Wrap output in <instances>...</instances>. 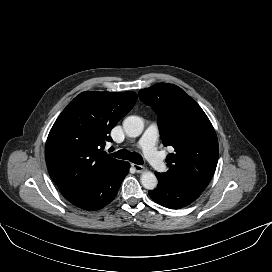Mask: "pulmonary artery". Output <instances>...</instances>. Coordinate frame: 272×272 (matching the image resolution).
Masks as SVG:
<instances>
[{"label": "pulmonary artery", "instance_id": "1", "mask_svg": "<svg viewBox=\"0 0 272 272\" xmlns=\"http://www.w3.org/2000/svg\"><path fill=\"white\" fill-rule=\"evenodd\" d=\"M158 139V128L155 124H151L140 139L138 146L150 164L157 170L163 171L166 168L162 155L156 149Z\"/></svg>", "mask_w": 272, "mask_h": 272}]
</instances>
